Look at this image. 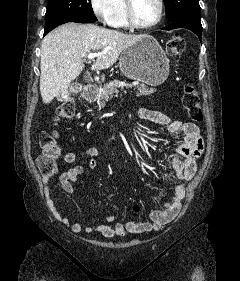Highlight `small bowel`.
I'll return each mask as SVG.
<instances>
[{
    "mask_svg": "<svg viewBox=\"0 0 240 281\" xmlns=\"http://www.w3.org/2000/svg\"><path fill=\"white\" fill-rule=\"evenodd\" d=\"M138 115L143 120L165 126L171 133H180L184 137V142L165 161L167 165L174 169L175 177L178 180L172 197L164 204L161 210L152 211L143 221H125L112 225L111 223L115 220V217L107 216L104 222L95 226L71 223L68 217L62 216L57 211L55 202L48 198L47 202L54 213V217L62 224L70 226L72 232L84 231L88 234H100L106 238L144 233L158 230L175 219L180 212L182 201L185 197L186 184L193 178L196 172V160L204 149L199 128L195 123L182 122L156 110L140 109ZM80 157L87 158V167L76 166L62 172H59L56 168L53 174L44 175V181L47 183L57 177L62 189L67 193H73L76 189L78 176L89 170H94L97 166V159H102L103 155L99 149L91 147L82 152H68L63 155L62 160L66 163H73Z\"/></svg>",
    "mask_w": 240,
    "mask_h": 281,
    "instance_id": "c3829d8e",
    "label": "small bowel"
}]
</instances>
